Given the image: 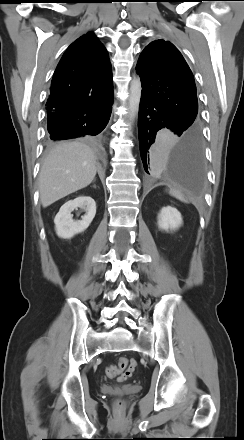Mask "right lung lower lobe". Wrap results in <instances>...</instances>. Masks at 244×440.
Listing matches in <instances>:
<instances>
[{
	"mask_svg": "<svg viewBox=\"0 0 244 440\" xmlns=\"http://www.w3.org/2000/svg\"><path fill=\"white\" fill-rule=\"evenodd\" d=\"M113 96L101 106L76 111L71 114H54L47 116V128L51 140L71 139L81 136H96L108 124L112 112Z\"/></svg>",
	"mask_w": 244,
	"mask_h": 440,
	"instance_id": "98d812e1",
	"label": "right lung lower lobe"
}]
</instances>
